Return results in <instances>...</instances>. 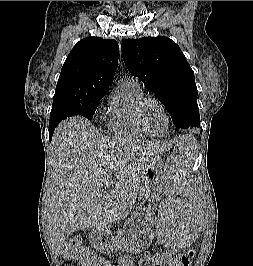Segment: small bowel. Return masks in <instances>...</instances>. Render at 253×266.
<instances>
[{"label": "small bowel", "mask_w": 253, "mask_h": 266, "mask_svg": "<svg viewBox=\"0 0 253 266\" xmlns=\"http://www.w3.org/2000/svg\"><path fill=\"white\" fill-rule=\"evenodd\" d=\"M150 257H143L140 261H139V266H143V263L145 261H147ZM119 261V265L120 266H135L134 261L132 260V258L130 256L127 255H122L120 256V258L118 259ZM107 263V262H106ZM106 266H110L108 263Z\"/></svg>", "instance_id": "small-bowel-1"}]
</instances>
